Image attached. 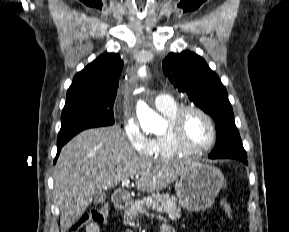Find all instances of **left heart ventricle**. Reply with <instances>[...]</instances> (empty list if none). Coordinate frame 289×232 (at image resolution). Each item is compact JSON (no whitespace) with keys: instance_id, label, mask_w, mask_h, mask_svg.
Wrapping results in <instances>:
<instances>
[{"instance_id":"left-heart-ventricle-1","label":"left heart ventricle","mask_w":289,"mask_h":232,"mask_svg":"<svg viewBox=\"0 0 289 232\" xmlns=\"http://www.w3.org/2000/svg\"><path fill=\"white\" fill-rule=\"evenodd\" d=\"M184 136L192 146H202L211 137V130L206 119L197 112H189L184 119Z\"/></svg>"}]
</instances>
